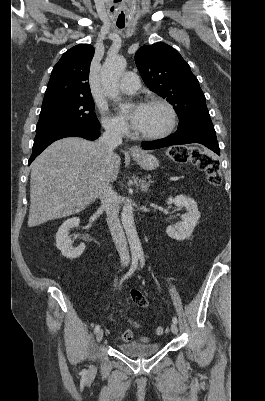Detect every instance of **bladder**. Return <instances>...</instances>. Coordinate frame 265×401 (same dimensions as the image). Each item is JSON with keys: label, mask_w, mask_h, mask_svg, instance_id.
<instances>
[{"label": "bladder", "mask_w": 265, "mask_h": 401, "mask_svg": "<svg viewBox=\"0 0 265 401\" xmlns=\"http://www.w3.org/2000/svg\"><path fill=\"white\" fill-rule=\"evenodd\" d=\"M118 350L133 357L150 356L160 350V343L140 344L132 342L130 344L118 345Z\"/></svg>", "instance_id": "31cf9c89"}]
</instances>
